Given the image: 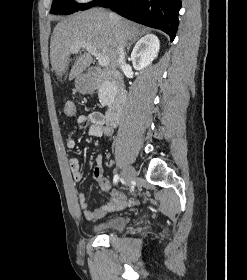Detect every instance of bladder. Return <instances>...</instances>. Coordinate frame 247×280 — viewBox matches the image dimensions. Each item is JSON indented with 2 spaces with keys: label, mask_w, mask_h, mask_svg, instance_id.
Segmentation results:
<instances>
[{
  "label": "bladder",
  "mask_w": 247,
  "mask_h": 280,
  "mask_svg": "<svg viewBox=\"0 0 247 280\" xmlns=\"http://www.w3.org/2000/svg\"><path fill=\"white\" fill-rule=\"evenodd\" d=\"M126 225V219L122 216H117L97 223L92 226L91 230L96 233H108L119 231Z\"/></svg>",
  "instance_id": "bladder-1"
}]
</instances>
